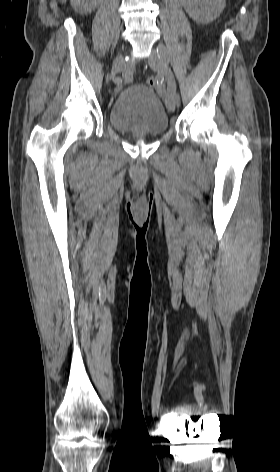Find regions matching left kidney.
<instances>
[{"mask_svg":"<svg viewBox=\"0 0 280 472\" xmlns=\"http://www.w3.org/2000/svg\"><path fill=\"white\" fill-rule=\"evenodd\" d=\"M188 15L198 23L215 20L223 11L225 0H181Z\"/></svg>","mask_w":280,"mask_h":472,"instance_id":"left-kidney-1","label":"left kidney"}]
</instances>
